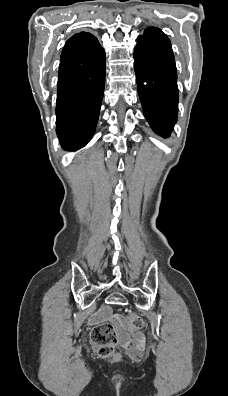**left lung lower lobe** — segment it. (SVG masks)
Segmentation results:
<instances>
[{"label":"left lung lower lobe","instance_id":"obj_1","mask_svg":"<svg viewBox=\"0 0 228 396\" xmlns=\"http://www.w3.org/2000/svg\"><path fill=\"white\" fill-rule=\"evenodd\" d=\"M134 68L145 118L167 137L177 121L178 87L175 59L168 37L158 28L138 36Z\"/></svg>","mask_w":228,"mask_h":396}]
</instances>
